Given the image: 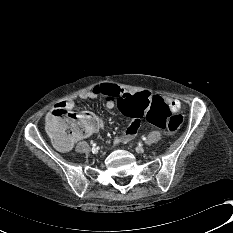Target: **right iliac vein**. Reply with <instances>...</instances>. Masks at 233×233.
I'll list each match as a JSON object with an SVG mask.
<instances>
[{
  "instance_id": "1",
  "label": "right iliac vein",
  "mask_w": 233,
  "mask_h": 233,
  "mask_svg": "<svg viewBox=\"0 0 233 233\" xmlns=\"http://www.w3.org/2000/svg\"><path fill=\"white\" fill-rule=\"evenodd\" d=\"M92 152L96 154V153L98 152V149H96V148H95V149H94V148H92Z\"/></svg>"
}]
</instances>
